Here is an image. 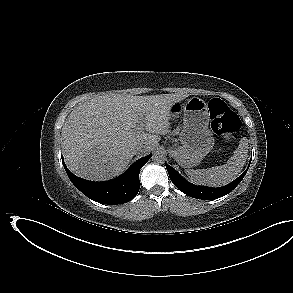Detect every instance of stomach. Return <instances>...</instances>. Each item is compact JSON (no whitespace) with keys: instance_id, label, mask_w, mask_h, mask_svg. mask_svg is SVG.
Here are the masks:
<instances>
[{"instance_id":"0dacf381","label":"stomach","mask_w":293,"mask_h":293,"mask_svg":"<svg viewBox=\"0 0 293 293\" xmlns=\"http://www.w3.org/2000/svg\"><path fill=\"white\" fill-rule=\"evenodd\" d=\"M183 107V128L180 132L181 146L170 150L179 165L189 168L198 165L212 150L214 137L209 129L210 115L207 104L199 97H192ZM179 103L170 109V117L180 113Z\"/></svg>"}]
</instances>
